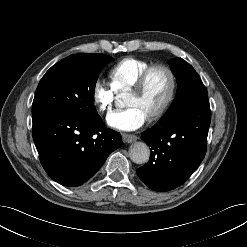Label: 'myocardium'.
I'll return each mask as SVG.
<instances>
[{"label": "myocardium", "mask_w": 247, "mask_h": 247, "mask_svg": "<svg viewBox=\"0 0 247 247\" xmlns=\"http://www.w3.org/2000/svg\"><path fill=\"white\" fill-rule=\"evenodd\" d=\"M156 70L165 71L169 77L170 84L165 100L163 101L161 106L149 116L150 120H156L160 118L167 111V109L170 107L171 103L174 100L177 89V80L173 70L169 66L164 64L151 65L140 75L134 86L129 90L131 93H136V94L141 93L146 87L150 75Z\"/></svg>", "instance_id": "obj_1"}]
</instances>
